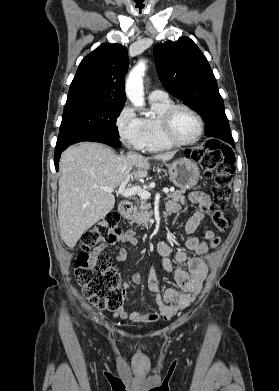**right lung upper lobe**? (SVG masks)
<instances>
[{"instance_id":"cb5924a9","label":"right lung upper lobe","mask_w":279,"mask_h":391,"mask_svg":"<svg viewBox=\"0 0 279 391\" xmlns=\"http://www.w3.org/2000/svg\"><path fill=\"white\" fill-rule=\"evenodd\" d=\"M129 59L127 48L105 43L80 63L64 110L86 105H124Z\"/></svg>"}]
</instances>
